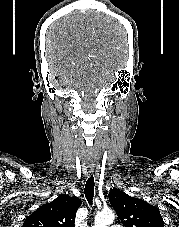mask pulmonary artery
I'll return each instance as SVG.
<instances>
[{"mask_svg": "<svg viewBox=\"0 0 179 227\" xmlns=\"http://www.w3.org/2000/svg\"><path fill=\"white\" fill-rule=\"evenodd\" d=\"M110 227H120L119 225H112V226H110Z\"/></svg>", "mask_w": 179, "mask_h": 227, "instance_id": "pulmonary-artery-1", "label": "pulmonary artery"}]
</instances>
